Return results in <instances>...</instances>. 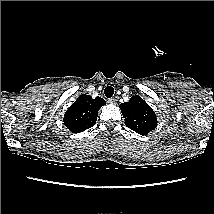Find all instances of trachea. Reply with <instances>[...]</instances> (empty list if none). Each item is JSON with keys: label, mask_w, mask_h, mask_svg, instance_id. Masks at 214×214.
<instances>
[{"label": "trachea", "mask_w": 214, "mask_h": 214, "mask_svg": "<svg viewBox=\"0 0 214 214\" xmlns=\"http://www.w3.org/2000/svg\"><path fill=\"white\" fill-rule=\"evenodd\" d=\"M104 94L107 98H111L114 94V88L112 86H107L104 90Z\"/></svg>", "instance_id": "trachea-1"}]
</instances>
